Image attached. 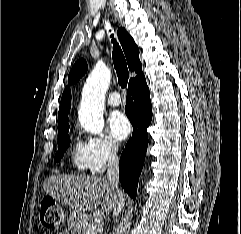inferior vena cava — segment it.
I'll use <instances>...</instances> for the list:
<instances>
[{
  "label": "inferior vena cava",
  "mask_w": 241,
  "mask_h": 234,
  "mask_svg": "<svg viewBox=\"0 0 241 234\" xmlns=\"http://www.w3.org/2000/svg\"><path fill=\"white\" fill-rule=\"evenodd\" d=\"M118 146L113 143L112 151L108 159L107 180L118 192L117 206L114 208L113 217H117L124 206V195L119 190V158L117 156Z\"/></svg>",
  "instance_id": "602c4592"
}]
</instances>
